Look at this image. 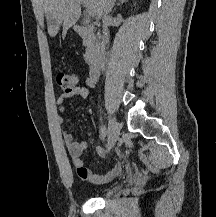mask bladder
Returning <instances> with one entry per match:
<instances>
[{"label": "bladder", "mask_w": 216, "mask_h": 217, "mask_svg": "<svg viewBox=\"0 0 216 217\" xmlns=\"http://www.w3.org/2000/svg\"><path fill=\"white\" fill-rule=\"evenodd\" d=\"M119 188H120V186L115 185V186H113V187H111L109 189H106L101 193V196H103V197L111 196L112 194L117 192L119 190Z\"/></svg>", "instance_id": "1"}]
</instances>
